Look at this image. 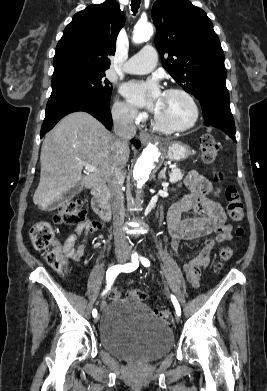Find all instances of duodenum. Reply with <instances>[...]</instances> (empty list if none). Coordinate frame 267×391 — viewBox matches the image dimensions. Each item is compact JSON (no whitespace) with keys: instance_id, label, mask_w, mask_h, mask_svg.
I'll use <instances>...</instances> for the list:
<instances>
[{"instance_id":"obj_1","label":"duodenum","mask_w":267,"mask_h":391,"mask_svg":"<svg viewBox=\"0 0 267 391\" xmlns=\"http://www.w3.org/2000/svg\"><path fill=\"white\" fill-rule=\"evenodd\" d=\"M108 196V188L104 185L97 186L92 191V209L101 219L105 221H109L111 219V208Z\"/></svg>"}]
</instances>
